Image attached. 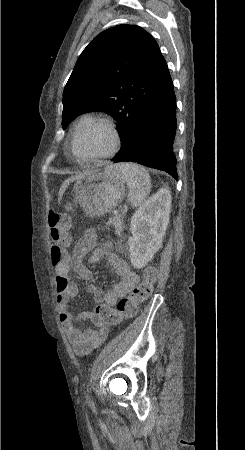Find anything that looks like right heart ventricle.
<instances>
[{
  "instance_id": "right-heart-ventricle-1",
  "label": "right heart ventricle",
  "mask_w": 245,
  "mask_h": 450,
  "mask_svg": "<svg viewBox=\"0 0 245 450\" xmlns=\"http://www.w3.org/2000/svg\"><path fill=\"white\" fill-rule=\"evenodd\" d=\"M91 119H93V117L92 116H90V115H85V116H83L82 118H80V120L78 121V123L79 122H87V121H90Z\"/></svg>"
}]
</instances>
